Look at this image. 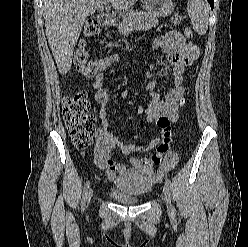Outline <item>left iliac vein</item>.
<instances>
[{
    "instance_id": "4c4485c4",
    "label": "left iliac vein",
    "mask_w": 248,
    "mask_h": 247,
    "mask_svg": "<svg viewBox=\"0 0 248 247\" xmlns=\"http://www.w3.org/2000/svg\"><path fill=\"white\" fill-rule=\"evenodd\" d=\"M163 195L166 202L167 210L169 213H172V202H171V187L166 181L163 186Z\"/></svg>"
}]
</instances>
